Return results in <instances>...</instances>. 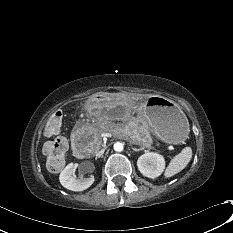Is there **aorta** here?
<instances>
[{
    "mask_svg": "<svg viewBox=\"0 0 233 233\" xmlns=\"http://www.w3.org/2000/svg\"><path fill=\"white\" fill-rule=\"evenodd\" d=\"M123 149H124L123 143H121V142H116V143L114 144V150H115L116 152H121V151H123Z\"/></svg>",
    "mask_w": 233,
    "mask_h": 233,
    "instance_id": "1",
    "label": "aorta"
}]
</instances>
